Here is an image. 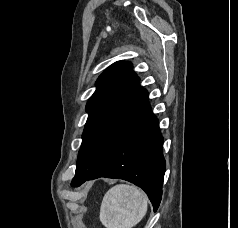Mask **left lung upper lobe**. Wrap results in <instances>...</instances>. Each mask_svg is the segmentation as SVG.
I'll return each instance as SVG.
<instances>
[{"label":"left lung upper lobe","mask_w":238,"mask_h":228,"mask_svg":"<svg viewBox=\"0 0 238 228\" xmlns=\"http://www.w3.org/2000/svg\"><path fill=\"white\" fill-rule=\"evenodd\" d=\"M86 105L89 113L82 135L75 176L91 173L103 160L120 129L146 95L132 64L118 61L104 71Z\"/></svg>","instance_id":"obj_1"}]
</instances>
